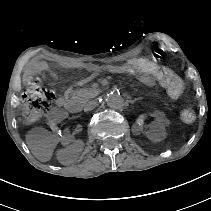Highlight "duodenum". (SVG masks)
Listing matches in <instances>:
<instances>
[{"instance_id": "1", "label": "duodenum", "mask_w": 211, "mask_h": 211, "mask_svg": "<svg viewBox=\"0 0 211 211\" xmlns=\"http://www.w3.org/2000/svg\"><path fill=\"white\" fill-rule=\"evenodd\" d=\"M64 106L68 112L73 113V114L78 113L81 109L80 103L74 99L67 100Z\"/></svg>"}]
</instances>
